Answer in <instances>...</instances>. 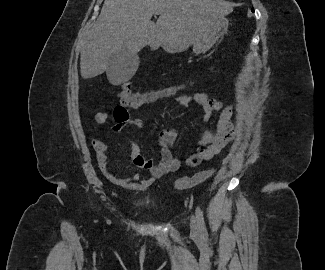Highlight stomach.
<instances>
[{"label": "stomach", "mask_w": 325, "mask_h": 270, "mask_svg": "<svg viewBox=\"0 0 325 270\" xmlns=\"http://www.w3.org/2000/svg\"><path fill=\"white\" fill-rule=\"evenodd\" d=\"M229 21L224 16L213 20L200 34L198 41L193 44L196 54L208 51L228 30Z\"/></svg>", "instance_id": "stomach-1"}]
</instances>
